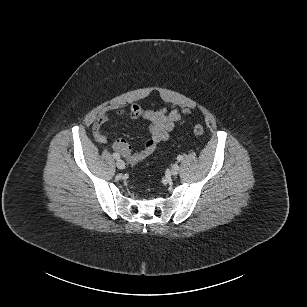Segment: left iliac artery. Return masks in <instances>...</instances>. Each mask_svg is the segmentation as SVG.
<instances>
[{
	"label": "left iliac artery",
	"instance_id": "44dca946",
	"mask_svg": "<svg viewBox=\"0 0 307 307\" xmlns=\"http://www.w3.org/2000/svg\"><path fill=\"white\" fill-rule=\"evenodd\" d=\"M177 160H178V161H182V160H183V156H182V155H178V156H177Z\"/></svg>",
	"mask_w": 307,
	"mask_h": 307
}]
</instances>
